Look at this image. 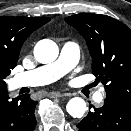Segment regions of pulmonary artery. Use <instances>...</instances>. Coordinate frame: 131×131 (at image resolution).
I'll list each match as a JSON object with an SVG mask.
<instances>
[{"instance_id": "e3ab8cb5", "label": "pulmonary artery", "mask_w": 131, "mask_h": 131, "mask_svg": "<svg viewBox=\"0 0 131 131\" xmlns=\"http://www.w3.org/2000/svg\"><path fill=\"white\" fill-rule=\"evenodd\" d=\"M79 56V45L76 42L67 41L63 44L56 61L34 70L17 74L12 79V85L14 88H21L52 83L73 69L79 61ZM93 98L97 103H100L104 98V88H100L95 92Z\"/></svg>"}]
</instances>
